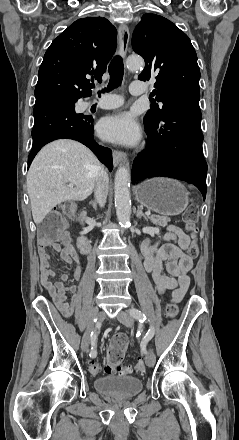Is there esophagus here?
Returning <instances> with one entry per match:
<instances>
[{
    "mask_svg": "<svg viewBox=\"0 0 239 440\" xmlns=\"http://www.w3.org/2000/svg\"><path fill=\"white\" fill-rule=\"evenodd\" d=\"M119 33V53L120 56L125 57L129 40H130V32L126 24L122 23L118 28ZM126 157V154L123 151L114 150L113 151V163L114 166H118L120 162H122Z\"/></svg>",
    "mask_w": 239,
    "mask_h": 440,
    "instance_id": "34e87169",
    "label": "esophagus"
}]
</instances>
